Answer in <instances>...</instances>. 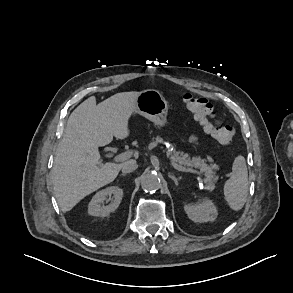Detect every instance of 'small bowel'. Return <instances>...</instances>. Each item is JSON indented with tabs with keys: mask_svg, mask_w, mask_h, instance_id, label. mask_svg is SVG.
<instances>
[{
	"mask_svg": "<svg viewBox=\"0 0 293 293\" xmlns=\"http://www.w3.org/2000/svg\"><path fill=\"white\" fill-rule=\"evenodd\" d=\"M189 141L190 142H192V143H197V141H198V138L196 137V136H191L190 138H189Z\"/></svg>",
	"mask_w": 293,
	"mask_h": 293,
	"instance_id": "1",
	"label": "small bowel"
}]
</instances>
